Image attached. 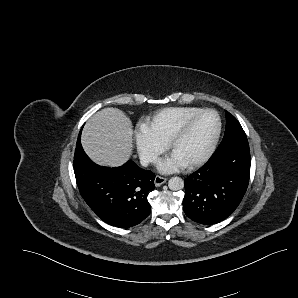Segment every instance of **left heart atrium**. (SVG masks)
I'll return each instance as SVG.
<instances>
[{
    "label": "left heart atrium",
    "instance_id": "1",
    "mask_svg": "<svg viewBox=\"0 0 298 298\" xmlns=\"http://www.w3.org/2000/svg\"><path fill=\"white\" fill-rule=\"evenodd\" d=\"M185 166L186 164L183 161L172 155H168L156 161V167L162 173H173Z\"/></svg>",
    "mask_w": 298,
    "mask_h": 298
}]
</instances>
